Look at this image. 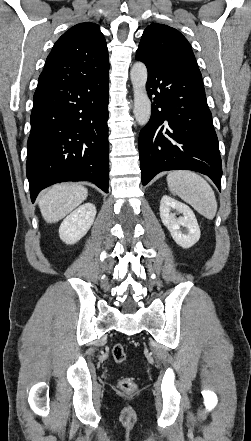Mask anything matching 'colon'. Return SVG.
I'll return each instance as SVG.
<instances>
[{"label":"colon","mask_w":251,"mask_h":441,"mask_svg":"<svg viewBox=\"0 0 251 441\" xmlns=\"http://www.w3.org/2000/svg\"><path fill=\"white\" fill-rule=\"evenodd\" d=\"M111 354L113 360L118 364H121L126 360V352L123 345L121 344L113 345V347L111 348ZM118 385L122 391L128 393L133 392L136 389V383L131 377H123L119 381Z\"/></svg>","instance_id":"colon-1"}]
</instances>
